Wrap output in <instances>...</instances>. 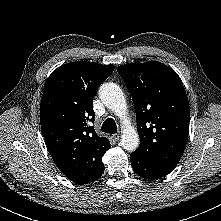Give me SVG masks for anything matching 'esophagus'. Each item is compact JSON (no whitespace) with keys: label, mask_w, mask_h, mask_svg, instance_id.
<instances>
[{"label":"esophagus","mask_w":221,"mask_h":221,"mask_svg":"<svg viewBox=\"0 0 221 221\" xmlns=\"http://www.w3.org/2000/svg\"><path fill=\"white\" fill-rule=\"evenodd\" d=\"M112 137L115 141H118L120 139V134L119 133L113 134Z\"/></svg>","instance_id":"1"}]
</instances>
